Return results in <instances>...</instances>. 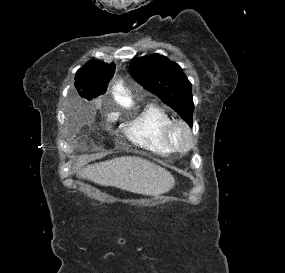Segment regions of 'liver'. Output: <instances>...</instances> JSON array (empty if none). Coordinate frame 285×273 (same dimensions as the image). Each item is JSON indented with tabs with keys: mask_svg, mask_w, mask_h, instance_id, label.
Returning a JSON list of instances; mask_svg holds the SVG:
<instances>
[{
	"mask_svg": "<svg viewBox=\"0 0 285 273\" xmlns=\"http://www.w3.org/2000/svg\"><path fill=\"white\" fill-rule=\"evenodd\" d=\"M76 175L102 186L149 196L167 193L175 185V179L169 171L135 156H123L87 165L79 169Z\"/></svg>",
	"mask_w": 285,
	"mask_h": 273,
	"instance_id": "obj_1",
	"label": "liver"
}]
</instances>
